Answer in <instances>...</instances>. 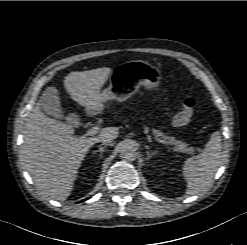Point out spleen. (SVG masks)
<instances>
[{"instance_id":"obj_1","label":"spleen","mask_w":247,"mask_h":245,"mask_svg":"<svg viewBox=\"0 0 247 245\" xmlns=\"http://www.w3.org/2000/svg\"><path fill=\"white\" fill-rule=\"evenodd\" d=\"M221 134L214 132L202 153L188 158L182 167L187 182V194L194 195L209 186L218 171L221 160Z\"/></svg>"}]
</instances>
